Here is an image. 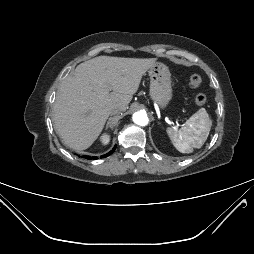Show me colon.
<instances>
[{"label":"colon","mask_w":254,"mask_h":254,"mask_svg":"<svg viewBox=\"0 0 254 254\" xmlns=\"http://www.w3.org/2000/svg\"><path fill=\"white\" fill-rule=\"evenodd\" d=\"M202 84V78L201 76L197 75V74H193L190 76L189 80H188V85L190 88H199ZM194 103L197 106H203L206 103V96L202 93H198L195 95L194 97Z\"/></svg>","instance_id":"1"}]
</instances>
